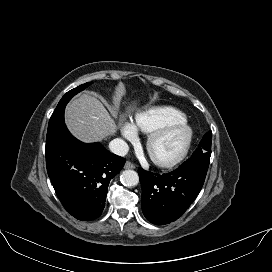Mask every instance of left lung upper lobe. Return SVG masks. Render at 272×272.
<instances>
[{"label":"left lung upper lobe","mask_w":272,"mask_h":272,"mask_svg":"<svg viewBox=\"0 0 272 272\" xmlns=\"http://www.w3.org/2000/svg\"><path fill=\"white\" fill-rule=\"evenodd\" d=\"M211 136V131L204 135L203 139L199 143V147L192 154V157L202 156L206 153H211Z\"/></svg>","instance_id":"left-lung-upper-lobe-1"}]
</instances>
